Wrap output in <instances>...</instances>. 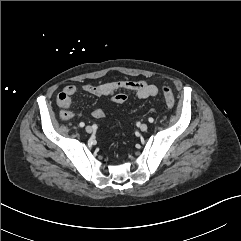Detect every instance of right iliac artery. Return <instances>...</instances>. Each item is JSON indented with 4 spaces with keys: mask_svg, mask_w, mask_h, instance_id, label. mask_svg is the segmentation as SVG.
<instances>
[{
    "mask_svg": "<svg viewBox=\"0 0 241 241\" xmlns=\"http://www.w3.org/2000/svg\"><path fill=\"white\" fill-rule=\"evenodd\" d=\"M79 126H80V127H84L85 124H84L83 122H81V123L79 124Z\"/></svg>",
    "mask_w": 241,
    "mask_h": 241,
    "instance_id": "1",
    "label": "right iliac artery"
}]
</instances>
